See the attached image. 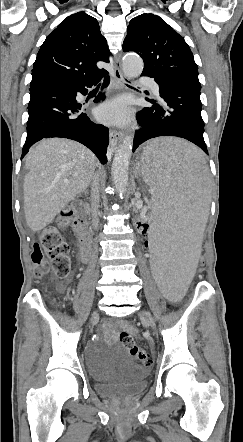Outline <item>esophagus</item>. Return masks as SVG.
Listing matches in <instances>:
<instances>
[{
	"label": "esophagus",
	"instance_id": "34e87169",
	"mask_svg": "<svg viewBox=\"0 0 243 442\" xmlns=\"http://www.w3.org/2000/svg\"><path fill=\"white\" fill-rule=\"evenodd\" d=\"M113 76L116 81H118V82L123 81V73L121 70V55L120 54H118L115 57ZM122 137H123V135L121 132H119L115 129H112L110 131L109 151L111 153H114L116 151L118 144L122 140Z\"/></svg>",
	"mask_w": 243,
	"mask_h": 442
}]
</instances>
